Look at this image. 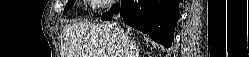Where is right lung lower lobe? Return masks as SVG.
I'll use <instances>...</instances> for the list:
<instances>
[{"mask_svg":"<svg viewBox=\"0 0 249 57\" xmlns=\"http://www.w3.org/2000/svg\"><path fill=\"white\" fill-rule=\"evenodd\" d=\"M180 0H121L102 15L110 20V13L123 16L124 23L148 34L155 42L170 47L174 29L180 18Z\"/></svg>","mask_w":249,"mask_h":57,"instance_id":"right-lung-lower-lobe-1","label":"right lung lower lobe"}]
</instances>
